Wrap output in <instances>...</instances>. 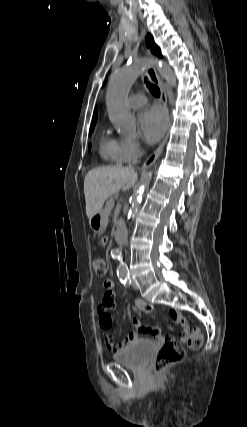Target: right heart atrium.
Returning a JSON list of instances; mask_svg holds the SVG:
<instances>
[{
    "label": "right heart atrium",
    "instance_id": "1",
    "mask_svg": "<svg viewBox=\"0 0 247 427\" xmlns=\"http://www.w3.org/2000/svg\"><path fill=\"white\" fill-rule=\"evenodd\" d=\"M123 148L127 161L137 158L141 153L140 143L134 139H123Z\"/></svg>",
    "mask_w": 247,
    "mask_h": 427
}]
</instances>
